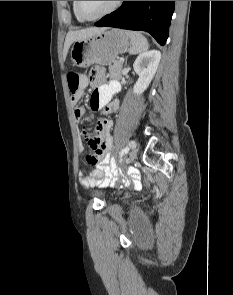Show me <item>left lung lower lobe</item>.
<instances>
[{
	"label": "left lung lower lobe",
	"mask_w": 233,
	"mask_h": 295,
	"mask_svg": "<svg viewBox=\"0 0 233 295\" xmlns=\"http://www.w3.org/2000/svg\"><path fill=\"white\" fill-rule=\"evenodd\" d=\"M175 1H124L122 6L95 23L98 27H116L146 31L164 45Z\"/></svg>",
	"instance_id": "obj_1"
}]
</instances>
